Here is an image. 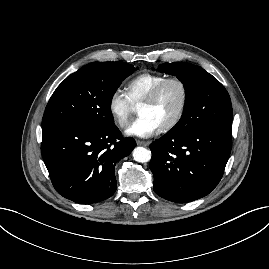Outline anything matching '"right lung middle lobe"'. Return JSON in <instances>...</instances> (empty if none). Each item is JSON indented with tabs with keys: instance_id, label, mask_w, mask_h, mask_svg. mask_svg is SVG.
I'll return each instance as SVG.
<instances>
[{
	"instance_id": "right-lung-middle-lobe-1",
	"label": "right lung middle lobe",
	"mask_w": 269,
	"mask_h": 269,
	"mask_svg": "<svg viewBox=\"0 0 269 269\" xmlns=\"http://www.w3.org/2000/svg\"><path fill=\"white\" fill-rule=\"evenodd\" d=\"M135 71L123 62H93L68 76L54 91L44 112L42 126L74 122L96 129L114 126L110 104L114 93Z\"/></svg>"
}]
</instances>
